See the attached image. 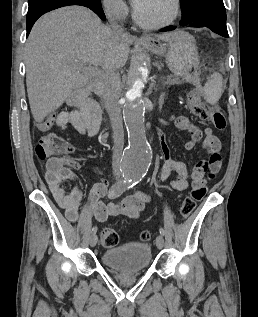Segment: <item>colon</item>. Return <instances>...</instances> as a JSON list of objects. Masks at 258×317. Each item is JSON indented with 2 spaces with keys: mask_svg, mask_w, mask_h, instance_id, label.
Segmentation results:
<instances>
[{
  "mask_svg": "<svg viewBox=\"0 0 258 317\" xmlns=\"http://www.w3.org/2000/svg\"><path fill=\"white\" fill-rule=\"evenodd\" d=\"M188 106L191 113L202 121L210 120L213 125L219 129L224 130L227 126V120L224 112L221 109L209 110L203 103V94L200 88L192 90L188 94ZM36 155L39 159L45 160L52 157H64L67 164L77 166L76 160L71 156L75 152V146L66 141L59 134L51 132L43 135L35 148ZM215 172L209 173V178L215 177ZM206 194V187L199 185L193 188L190 195L187 196L179 206V214L186 218L196 208L197 202L203 199ZM141 240L147 241L150 234L147 231L141 233ZM101 244L104 247H115L119 242V236L115 230L105 228L100 235Z\"/></svg>",
  "mask_w": 258,
  "mask_h": 317,
  "instance_id": "5ec220e1",
  "label": "colon"
}]
</instances>
